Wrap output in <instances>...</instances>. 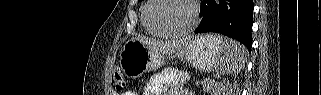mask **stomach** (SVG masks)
<instances>
[{
  "label": "stomach",
  "mask_w": 321,
  "mask_h": 95,
  "mask_svg": "<svg viewBox=\"0 0 321 95\" xmlns=\"http://www.w3.org/2000/svg\"><path fill=\"white\" fill-rule=\"evenodd\" d=\"M222 52L223 47L216 37L202 35L187 41L178 51V56L193 67L207 72L215 68ZM163 60V54L149 49L140 41L131 39L121 49L119 67L125 76L139 78L159 68Z\"/></svg>",
  "instance_id": "obj_1"
}]
</instances>
